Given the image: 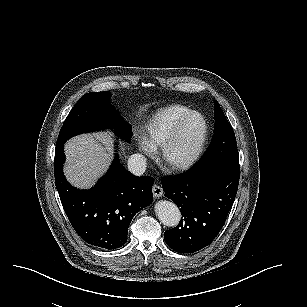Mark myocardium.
Here are the masks:
<instances>
[{"label":"myocardium","instance_id":"myocardium-1","mask_svg":"<svg viewBox=\"0 0 307 307\" xmlns=\"http://www.w3.org/2000/svg\"><path fill=\"white\" fill-rule=\"evenodd\" d=\"M193 117L198 119L195 124L188 120ZM168 133L163 138L162 144L154 151L155 163L162 170L188 167L205 145L207 126L203 113L198 108H190L175 120Z\"/></svg>","mask_w":307,"mask_h":307}]
</instances>
